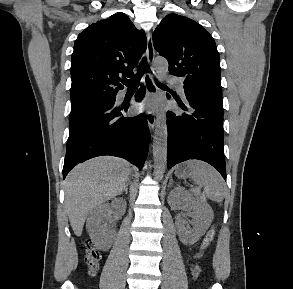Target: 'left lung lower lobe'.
I'll return each mask as SVG.
<instances>
[{
    "mask_svg": "<svg viewBox=\"0 0 293 289\" xmlns=\"http://www.w3.org/2000/svg\"><path fill=\"white\" fill-rule=\"evenodd\" d=\"M184 91L188 104H178L186 113H167L168 169L199 159L215 167L226 180L222 95L186 86Z\"/></svg>",
    "mask_w": 293,
    "mask_h": 289,
    "instance_id": "0a47b994",
    "label": "left lung lower lobe"
}]
</instances>
